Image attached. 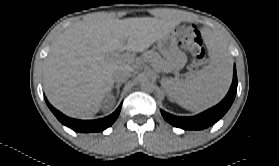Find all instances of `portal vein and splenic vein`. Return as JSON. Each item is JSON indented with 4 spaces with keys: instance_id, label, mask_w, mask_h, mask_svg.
<instances>
[{
    "instance_id": "portal-vein-and-splenic-vein-1",
    "label": "portal vein and splenic vein",
    "mask_w": 279,
    "mask_h": 166,
    "mask_svg": "<svg viewBox=\"0 0 279 166\" xmlns=\"http://www.w3.org/2000/svg\"><path fill=\"white\" fill-rule=\"evenodd\" d=\"M110 59L112 61H121V60H127L128 58L124 55H119V53L115 52L110 56Z\"/></svg>"
}]
</instances>
